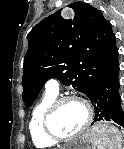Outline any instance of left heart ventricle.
<instances>
[{"mask_svg": "<svg viewBox=\"0 0 124 149\" xmlns=\"http://www.w3.org/2000/svg\"><path fill=\"white\" fill-rule=\"evenodd\" d=\"M86 114V108L80 102H65L56 111L52 128L60 136L72 135L82 128Z\"/></svg>", "mask_w": 124, "mask_h": 149, "instance_id": "1", "label": "left heart ventricle"}]
</instances>
